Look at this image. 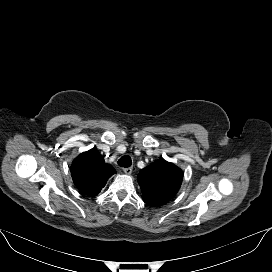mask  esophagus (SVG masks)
<instances>
[{
  "mask_svg": "<svg viewBox=\"0 0 272 272\" xmlns=\"http://www.w3.org/2000/svg\"><path fill=\"white\" fill-rule=\"evenodd\" d=\"M123 171L125 174L130 175L132 173V167L124 168Z\"/></svg>",
  "mask_w": 272,
  "mask_h": 272,
  "instance_id": "esophagus-1",
  "label": "esophagus"
}]
</instances>
